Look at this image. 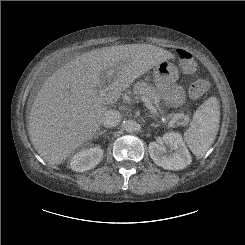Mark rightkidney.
I'll return each mask as SVG.
<instances>
[{"label":"right kidney","mask_w":245,"mask_h":245,"mask_svg":"<svg viewBox=\"0 0 245 245\" xmlns=\"http://www.w3.org/2000/svg\"><path fill=\"white\" fill-rule=\"evenodd\" d=\"M103 150L99 147H92L76 153L70 160V167L73 171L83 172L94 168L102 160Z\"/></svg>","instance_id":"1"}]
</instances>
